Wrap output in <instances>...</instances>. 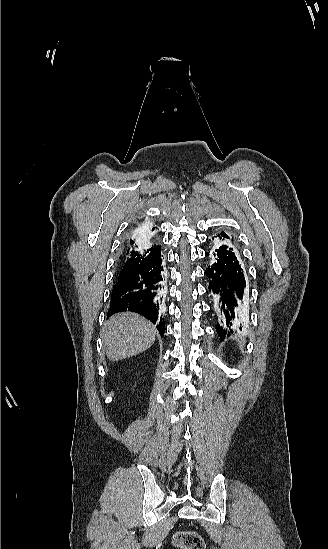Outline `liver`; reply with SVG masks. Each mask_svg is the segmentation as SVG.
I'll use <instances>...</instances> for the list:
<instances>
[{"label":"liver","instance_id":"obj_1","mask_svg":"<svg viewBox=\"0 0 328 549\" xmlns=\"http://www.w3.org/2000/svg\"><path fill=\"white\" fill-rule=\"evenodd\" d=\"M109 361H122L147 351L155 341V329L136 313H117L108 319L102 331Z\"/></svg>","mask_w":328,"mask_h":549}]
</instances>
